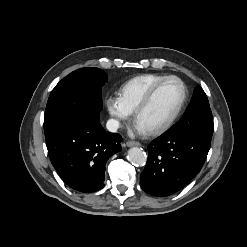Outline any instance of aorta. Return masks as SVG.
Returning a JSON list of instances; mask_svg holds the SVG:
<instances>
[{
    "label": "aorta",
    "instance_id": "1",
    "mask_svg": "<svg viewBox=\"0 0 247 247\" xmlns=\"http://www.w3.org/2000/svg\"><path fill=\"white\" fill-rule=\"evenodd\" d=\"M127 158L135 166H144L147 161L146 153L138 147L129 149Z\"/></svg>",
    "mask_w": 247,
    "mask_h": 247
}]
</instances>
